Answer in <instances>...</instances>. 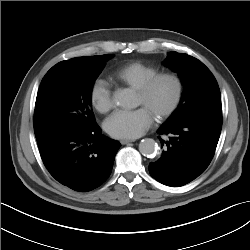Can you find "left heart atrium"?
I'll use <instances>...</instances> for the list:
<instances>
[{"mask_svg": "<svg viewBox=\"0 0 250 250\" xmlns=\"http://www.w3.org/2000/svg\"><path fill=\"white\" fill-rule=\"evenodd\" d=\"M154 116L144 106L134 110H118L105 121L106 131L115 138L135 139L152 125Z\"/></svg>", "mask_w": 250, "mask_h": 250, "instance_id": "left-heart-atrium-1", "label": "left heart atrium"}]
</instances>
